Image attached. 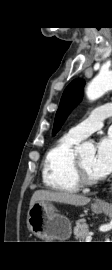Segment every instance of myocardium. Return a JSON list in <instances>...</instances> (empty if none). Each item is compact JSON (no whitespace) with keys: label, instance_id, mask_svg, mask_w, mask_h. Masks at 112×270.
<instances>
[{"label":"myocardium","instance_id":"myocardium-1","mask_svg":"<svg viewBox=\"0 0 112 270\" xmlns=\"http://www.w3.org/2000/svg\"><path fill=\"white\" fill-rule=\"evenodd\" d=\"M73 173L79 186H94L99 182L98 178H91L87 175L77 156H75L73 161Z\"/></svg>","mask_w":112,"mask_h":270}]
</instances>
